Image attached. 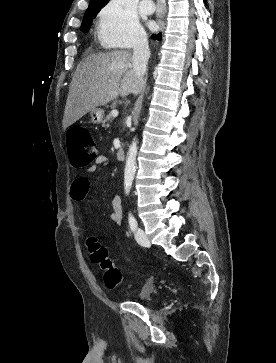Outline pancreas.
<instances>
[{"mask_svg":"<svg viewBox=\"0 0 276 363\" xmlns=\"http://www.w3.org/2000/svg\"><path fill=\"white\" fill-rule=\"evenodd\" d=\"M113 119V116L111 115V113L109 115L106 116V118L104 119V124L108 123L109 121H111Z\"/></svg>","mask_w":276,"mask_h":363,"instance_id":"obj_1","label":"pancreas"}]
</instances>
